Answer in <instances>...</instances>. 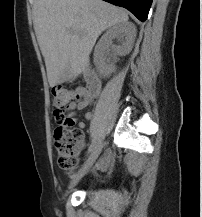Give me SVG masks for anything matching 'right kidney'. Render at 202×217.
<instances>
[{"label":"right kidney","mask_w":202,"mask_h":217,"mask_svg":"<svg viewBox=\"0 0 202 217\" xmlns=\"http://www.w3.org/2000/svg\"><path fill=\"white\" fill-rule=\"evenodd\" d=\"M136 37V28L134 24L125 22L119 23L109 28L100 38L94 53V63L100 75L109 76L115 72V65H107L104 60L105 49L111 47L116 55L125 56L133 47ZM118 39L120 45H113L112 41Z\"/></svg>","instance_id":"1"}]
</instances>
